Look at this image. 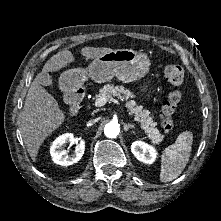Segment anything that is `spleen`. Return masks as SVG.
<instances>
[{
  "mask_svg": "<svg viewBox=\"0 0 221 221\" xmlns=\"http://www.w3.org/2000/svg\"><path fill=\"white\" fill-rule=\"evenodd\" d=\"M193 143L190 131L182 132L175 143L165 148L161 156L160 180L170 182L176 179L186 167Z\"/></svg>",
  "mask_w": 221,
  "mask_h": 221,
  "instance_id": "obj_1",
  "label": "spleen"
}]
</instances>
